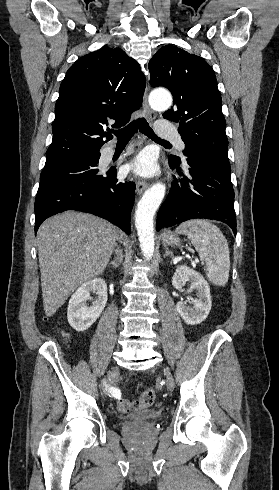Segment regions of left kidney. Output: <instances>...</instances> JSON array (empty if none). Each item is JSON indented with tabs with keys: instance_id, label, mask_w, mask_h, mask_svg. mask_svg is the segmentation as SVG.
I'll list each match as a JSON object with an SVG mask.
<instances>
[{
	"instance_id": "5707ae66",
	"label": "left kidney",
	"mask_w": 279,
	"mask_h": 490,
	"mask_svg": "<svg viewBox=\"0 0 279 490\" xmlns=\"http://www.w3.org/2000/svg\"><path fill=\"white\" fill-rule=\"evenodd\" d=\"M186 282H190L189 290H195L197 298L189 302L192 306L180 300L176 304V310L186 324L196 326L206 320L212 308L210 286L199 272L191 270L188 266H178L172 278V286L176 290H182Z\"/></svg>"
}]
</instances>
